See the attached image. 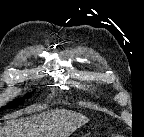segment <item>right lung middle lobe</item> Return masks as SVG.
I'll list each match as a JSON object with an SVG mask.
<instances>
[{"label": "right lung middle lobe", "mask_w": 144, "mask_h": 137, "mask_svg": "<svg viewBox=\"0 0 144 137\" xmlns=\"http://www.w3.org/2000/svg\"><path fill=\"white\" fill-rule=\"evenodd\" d=\"M30 96H31V94H26L24 97H21L17 100L12 101L7 106H4L1 109L3 110V109H6V108H9V109L15 108V107L19 106L20 104H22L24 102L25 98H29Z\"/></svg>", "instance_id": "right-lung-middle-lobe-1"}]
</instances>
